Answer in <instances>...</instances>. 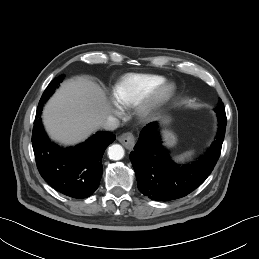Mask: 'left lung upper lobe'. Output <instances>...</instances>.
<instances>
[{"mask_svg":"<svg viewBox=\"0 0 259 259\" xmlns=\"http://www.w3.org/2000/svg\"><path fill=\"white\" fill-rule=\"evenodd\" d=\"M215 111H225V108L223 106V103H222L221 99L219 100L218 105H217Z\"/></svg>","mask_w":259,"mask_h":259,"instance_id":"obj_1","label":"left lung upper lobe"}]
</instances>
